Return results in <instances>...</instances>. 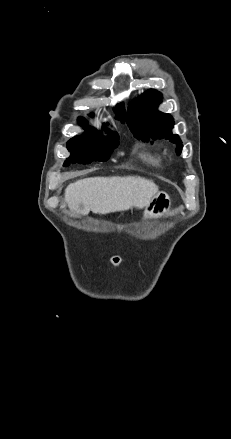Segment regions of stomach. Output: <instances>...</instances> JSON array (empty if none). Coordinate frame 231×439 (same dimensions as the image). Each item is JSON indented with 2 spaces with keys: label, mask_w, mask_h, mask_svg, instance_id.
Instances as JSON below:
<instances>
[{
  "label": "stomach",
  "mask_w": 231,
  "mask_h": 439,
  "mask_svg": "<svg viewBox=\"0 0 231 439\" xmlns=\"http://www.w3.org/2000/svg\"><path fill=\"white\" fill-rule=\"evenodd\" d=\"M171 201L170 197L166 192H158L149 204L146 206L144 212V219L148 218H159L164 216L170 209Z\"/></svg>",
  "instance_id": "0dacf381"
}]
</instances>
